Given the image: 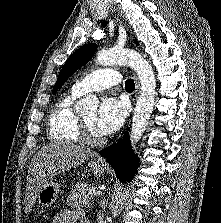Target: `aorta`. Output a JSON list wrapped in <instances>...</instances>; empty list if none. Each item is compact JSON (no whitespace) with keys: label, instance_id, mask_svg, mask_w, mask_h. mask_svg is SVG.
<instances>
[{"label":"aorta","instance_id":"aorta-1","mask_svg":"<svg viewBox=\"0 0 221 223\" xmlns=\"http://www.w3.org/2000/svg\"><path fill=\"white\" fill-rule=\"evenodd\" d=\"M97 63L103 66L108 65H128L137 73L141 92L137 100L131 126L130 139L135 145L142 137L148 125L149 118L153 111L156 80L151 65L139 53L126 50L115 49L103 50L98 53ZM99 106V100L94 96L82 98L76 105V110L81 112L95 111Z\"/></svg>","mask_w":221,"mask_h":223}]
</instances>
